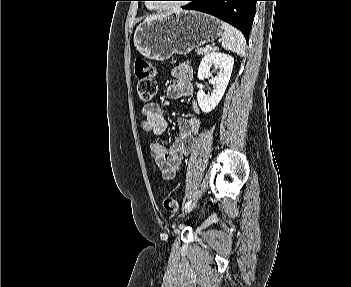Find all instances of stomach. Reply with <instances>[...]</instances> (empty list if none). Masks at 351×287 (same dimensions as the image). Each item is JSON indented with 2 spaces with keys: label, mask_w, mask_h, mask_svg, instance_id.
Segmentation results:
<instances>
[{
  "label": "stomach",
  "mask_w": 351,
  "mask_h": 287,
  "mask_svg": "<svg viewBox=\"0 0 351 287\" xmlns=\"http://www.w3.org/2000/svg\"><path fill=\"white\" fill-rule=\"evenodd\" d=\"M222 23L197 11L168 13L143 21L134 33V46L146 58L165 61L173 54L185 55L193 48L214 41Z\"/></svg>",
  "instance_id": "0dacf381"
}]
</instances>
